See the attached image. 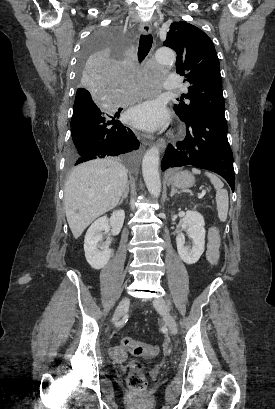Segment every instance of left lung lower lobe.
I'll return each instance as SVG.
<instances>
[{
  "instance_id": "obj_1",
  "label": "left lung lower lobe",
  "mask_w": 275,
  "mask_h": 409,
  "mask_svg": "<svg viewBox=\"0 0 275 409\" xmlns=\"http://www.w3.org/2000/svg\"><path fill=\"white\" fill-rule=\"evenodd\" d=\"M186 138L176 147L169 145L162 160V170L191 165L221 175L235 187L233 155L227 139L225 116L205 113L184 121Z\"/></svg>"
}]
</instances>
